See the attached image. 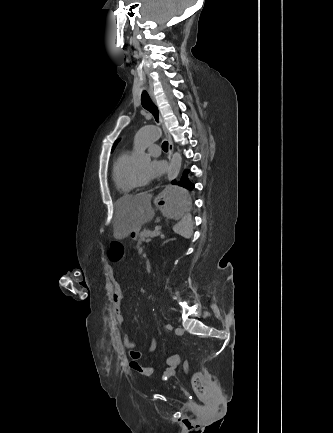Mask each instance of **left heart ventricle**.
I'll list each match as a JSON object with an SVG mask.
<instances>
[{"mask_svg": "<svg viewBox=\"0 0 333 433\" xmlns=\"http://www.w3.org/2000/svg\"><path fill=\"white\" fill-rule=\"evenodd\" d=\"M146 159L144 161L141 162H137L135 164H133L134 166V170H135V174H136V178L138 181L140 182H145V169L149 163V161L151 159H153L155 156L152 155L149 151H147V153L145 154Z\"/></svg>", "mask_w": 333, "mask_h": 433, "instance_id": "b2bd125f", "label": "left heart ventricle"}]
</instances>
